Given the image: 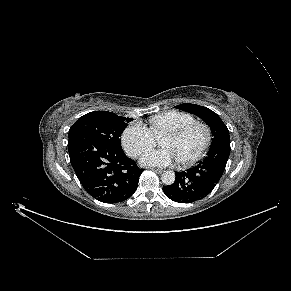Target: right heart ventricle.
Segmentation results:
<instances>
[{"label":"right heart ventricle","instance_id":"1","mask_svg":"<svg viewBox=\"0 0 291 291\" xmlns=\"http://www.w3.org/2000/svg\"><path fill=\"white\" fill-rule=\"evenodd\" d=\"M196 118L189 113L170 110L153 116L150 119V130L156 138L184 125L195 122Z\"/></svg>","mask_w":291,"mask_h":291}]
</instances>
